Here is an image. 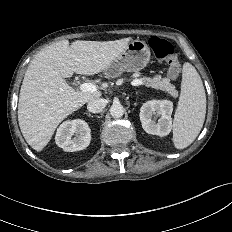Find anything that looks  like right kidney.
<instances>
[{
  "mask_svg": "<svg viewBox=\"0 0 232 232\" xmlns=\"http://www.w3.org/2000/svg\"><path fill=\"white\" fill-rule=\"evenodd\" d=\"M88 124L81 120H68L57 129L56 144L66 152H74L85 149L91 140Z\"/></svg>",
  "mask_w": 232,
  "mask_h": 232,
  "instance_id": "ca27d5eb",
  "label": "right kidney"
}]
</instances>
